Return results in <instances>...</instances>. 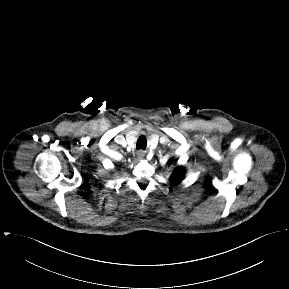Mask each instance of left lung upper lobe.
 <instances>
[{
	"mask_svg": "<svg viewBox=\"0 0 289 289\" xmlns=\"http://www.w3.org/2000/svg\"><path fill=\"white\" fill-rule=\"evenodd\" d=\"M185 170L183 167H177L171 176V181L174 184L179 183L184 177Z\"/></svg>",
	"mask_w": 289,
	"mask_h": 289,
	"instance_id": "obj_1",
	"label": "left lung upper lobe"
}]
</instances>
